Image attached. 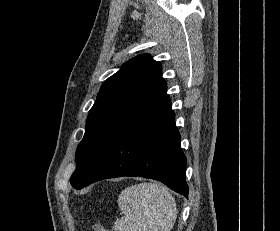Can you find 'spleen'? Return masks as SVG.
Instances as JSON below:
<instances>
[{
  "label": "spleen",
  "instance_id": "obj_1",
  "mask_svg": "<svg viewBox=\"0 0 280 231\" xmlns=\"http://www.w3.org/2000/svg\"><path fill=\"white\" fill-rule=\"evenodd\" d=\"M121 213L115 231H171L177 217V203L167 187L159 183H137L121 191Z\"/></svg>",
  "mask_w": 280,
  "mask_h": 231
}]
</instances>
